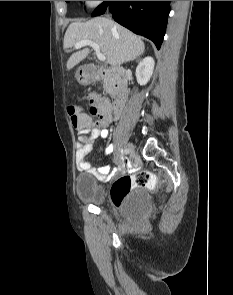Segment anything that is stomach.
Listing matches in <instances>:
<instances>
[{"instance_id": "1", "label": "stomach", "mask_w": 233, "mask_h": 295, "mask_svg": "<svg viewBox=\"0 0 233 295\" xmlns=\"http://www.w3.org/2000/svg\"><path fill=\"white\" fill-rule=\"evenodd\" d=\"M76 79L79 83L86 84L92 80V75L82 66L76 72Z\"/></svg>"}]
</instances>
